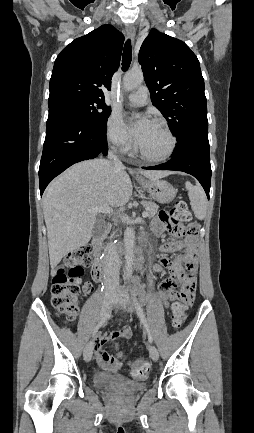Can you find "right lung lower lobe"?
I'll use <instances>...</instances> for the list:
<instances>
[{
  "label": "right lung lower lobe",
  "mask_w": 254,
  "mask_h": 433,
  "mask_svg": "<svg viewBox=\"0 0 254 433\" xmlns=\"http://www.w3.org/2000/svg\"><path fill=\"white\" fill-rule=\"evenodd\" d=\"M106 126L90 123L75 113L50 110L39 167L40 194L69 166L107 155Z\"/></svg>",
  "instance_id": "1"
}]
</instances>
